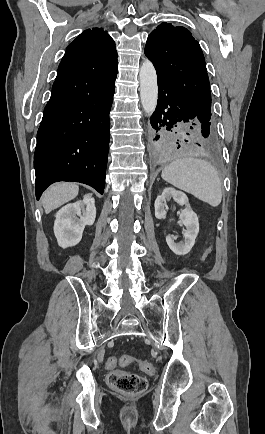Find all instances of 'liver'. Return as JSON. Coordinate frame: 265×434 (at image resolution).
<instances>
[{
	"label": "liver",
	"instance_id": "obj_1",
	"mask_svg": "<svg viewBox=\"0 0 265 434\" xmlns=\"http://www.w3.org/2000/svg\"><path fill=\"white\" fill-rule=\"evenodd\" d=\"M78 192V184H70V182H59V184L49 186L42 196L45 214H50L52 210H56V208H60L66 202L74 200L78 196Z\"/></svg>",
	"mask_w": 265,
	"mask_h": 434
}]
</instances>
